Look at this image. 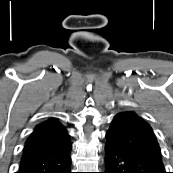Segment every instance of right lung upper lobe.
<instances>
[{"label": "right lung upper lobe", "instance_id": "1", "mask_svg": "<svg viewBox=\"0 0 173 173\" xmlns=\"http://www.w3.org/2000/svg\"><path fill=\"white\" fill-rule=\"evenodd\" d=\"M68 144L67 130L57 119L50 118L35 127L25 143L23 156L50 151Z\"/></svg>", "mask_w": 173, "mask_h": 173}]
</instances>
